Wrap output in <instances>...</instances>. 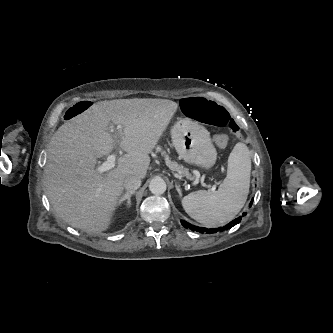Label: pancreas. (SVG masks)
<instances>
[{"label": "pancreas", "instance_id": "pancreas-1", "mask_svg": "<svg viewBox=\"0 0 333 333\" xmlns=\"http://www.w3.org/2000/svg\"><path fill=\"white\" fill-rule=\"evenodd\" d=\"M156 150L159 152L161 151L162 155L165 156V160H166V165L173 171L176 172L177 175H184L186 177H191V174L189 173V169L185 168L183 166L178 165L175 162H172L171 160H169V157L165 154L164 151L161 150L160 147H157Z\"/></svg>", "mask_w": 333, "mask_h": 333}]
</instances>
